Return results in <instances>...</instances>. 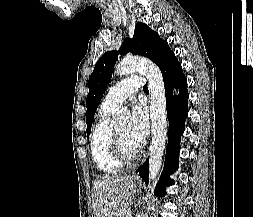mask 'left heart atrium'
<instances>
[{
  "mask_svg": "<svg viewBox=\"0 0 253 217\" xmlns=\"http://www.w3.org/2000/svg\"><path fill=\"white\" fill-rule=\"evenodd\" d=\"M149 132V121L145 110L140 105H134L131 111V117L128 124V133L131 139L139 145H142Z\"/></svg>",
  "mask_w": 253,
  "mask_h": 217,
  "instance_id": "1",
  "label": "left heart atrium"
}]
</instances>
